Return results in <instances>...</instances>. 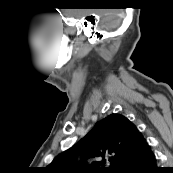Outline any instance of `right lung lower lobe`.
<instances>
[{
  "label": "right lung lower lobe",
  "instance_id": "1",
  "mask_svg": "<svg viewBox=\"0 0 173 173\" xmlns=\"http://www.w3.org/2000/svg\"><path fill=\"white\" fill-rule=\"evenodd\" d=\"M149 146L128 158L116 173H161Z\"/></svg>",
  "mask_w": 173,
  "mask_h": 173
}]
</instances>
